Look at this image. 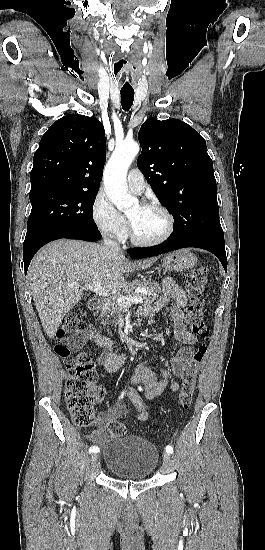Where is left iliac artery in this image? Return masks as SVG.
<instances>
[{
    "mask_svg": "<svg viewBox=\"0 0 265 550\" xmlns=\"http://www.w3.org/2000/svg\"><path fill=\"white\" fill-rule=\"evenodd\" d=\"M139 390L141 391L142 389L139 388ZM165 450H166V452L169 453V454H172V453H173V447L170 446V445H167V446L165 447Z\"/></svg>",
    "mask_w": 265,
    "mask_h": 550,
    "instance_id": "left-iliac-artery-1",
    "label": "left iliac artery"
}]
</instances>
